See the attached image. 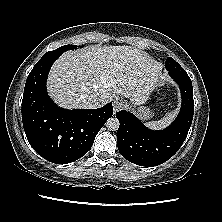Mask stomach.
<instances>
[{
	"label": "stomach",
	"mask_w": 222,
	"mask_h": 222,
	"mask_svg": "<svg viewBox=\"0 0 222 222\" xmlns=\"http://www.w3.org/2000/svg\"><path fill=\"white\" fill-rule=\"evenodd\" d=\"M138 106L139 107L136 111V114L138 115L139 118H141L143 120H149L153 117V112L149 108H147L141 104H139Z\"/></svg>",
	"instance_id": "stomach-1"
}]
</instances>
